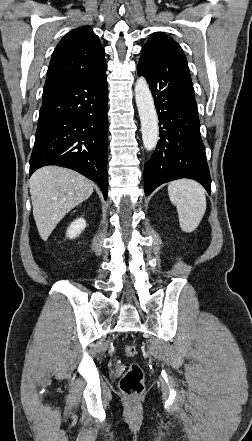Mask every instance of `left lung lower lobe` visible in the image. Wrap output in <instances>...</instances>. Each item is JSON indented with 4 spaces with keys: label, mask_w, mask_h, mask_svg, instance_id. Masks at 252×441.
Returning a JSON list of instances; mask_svg holds the SVG:
<instances>
[{
    "label": "left lung lower lobe",
    "mask_w": 252,
    "mask_h": 441,
    "mask_svg": "<svg viewBox=\"0 0 252 441\" xmlns=\"http://www.w3.org/2000/svg\"><path fill=\"white\" fill-rule=\"evenodd\" d=\"M137 69L149 84L160 127V140L144 168L145 194L180 178L194 179L210 193L197 103L182 49L164 44L143 51Z\"/></svg>",
    "instance_id": "0a47b994"
}]
</instances>
